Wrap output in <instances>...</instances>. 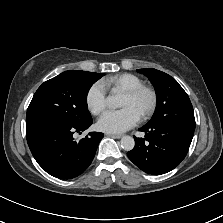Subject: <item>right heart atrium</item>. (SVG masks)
I'll return each mask as SVG.
<instances>
[{
	"label": "right heart atrium",
	"instance_id": "obj_1",
	"mask_svg": "<svg viewBox=\"0 0 223 223\" xmlns=\"http://www.w3.org/2000/svg\"><path fill=\"white\" fill-rule=\"evenodd\" d=\"M106 91V86L101 81L89 87L86 93V105L92 114L98 115L106 108Z\"/></svg>",
	"mask_w": 223,
	"mask_h": 223
}]
</instances>
